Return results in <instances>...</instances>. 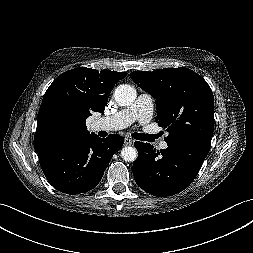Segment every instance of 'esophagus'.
Wrapping results in <instances>:
<instances>
[{"instance_id": "34e87169", "label": "esophagus", "mask_w": 253, "mask_h": 253, "mask_svg": "<svg viewBox=\"0 0 253 253\" xmlns=\"http://www.w3.org/2000/svg\"><path fill=\"white\" fill-rule=\"evenodd\" d=\"M124 144H125L126 146H130V145L133 144V140L130 139V138H128V137H126L125 140H124Z\"/></svg>"}]
</instances>
